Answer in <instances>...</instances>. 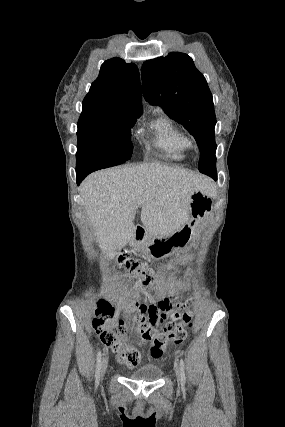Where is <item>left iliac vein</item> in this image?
Listing matches in <instances>:
<instances>
[{
	"mask_svg": "<svg viewBox=\"0 0 285 427\" xmlns=\"http://www.w3.org/2000/svg\"><path fill=\"white\" fill-rule=\"evenodd\" d=\"M175 374L179 383H181L180 370L177 364L174 366Z\"/></svg>",
	"mask_w": 285,
	"mask_h": 427,
	"instance_id": "obj_1",
	"label": "left iliac vein"
}]
</instances>
